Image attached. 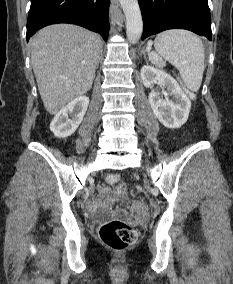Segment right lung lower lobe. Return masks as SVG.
<instances>
[{
  "label": "right lung lower lobe",
  "mask_w": 233,
  "mask_h": 284,
  "mask_svg": "<svg viewBox=\"0 0 233 284\" xmlns=\"http://www.w3.org/2000/svg\"><path fill=\"white\" fill-rule=\"evenodd\" d=\"M109 5L110 0H31L26 38L44 26L71 23L99 32L106 41Z\"/></svg>",
  "instance_id": "98d812e1"
}]
</instances>
